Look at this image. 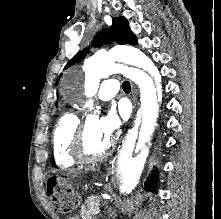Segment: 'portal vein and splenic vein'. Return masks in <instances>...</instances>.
<instances>
[{
  "instance_id": "1",
  "label": "portal vein and splenic vein",
  "mask_w": 221,
  "mask_h": 219,
  "mask_svg": "<svg viewBox=\"0 0 221 219\" xmlns=\"http://www.w3.org/2000/svg\"><path fill=\"white\" fill-rule=\"evenodd\" d=\"M99 212H100V209L98 208L97 211H96V213H99Z\"/></svg>"
}]
</instances>
